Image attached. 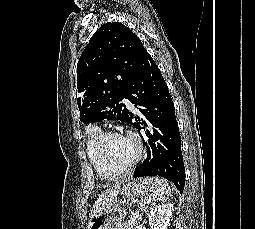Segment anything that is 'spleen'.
Wrapping results in <instances>:
<instances>
[{
	"instance_id": "spleen-1",
	"label": "spleen",
	"mask_w": 255,
	"mask_h": 229,
	"mask_svg": "<svg viewBox=\"0 0 255 229\" xmlns=\"http://www.w3.org/2000/svg\"><path fill=\"white\" fill-rule=\"evenodd\" d=\"M155 179V188L152 193L153 199H157L160 201L166 200L170 195V186L167 180L161 178H154Z\"/></svg>"
}]
</instances>
